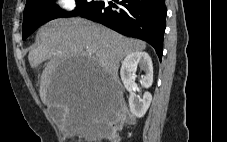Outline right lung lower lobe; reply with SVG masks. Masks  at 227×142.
<instances>
[{
	"instance_id": "1",
	"label": "right lung lower lobe",
	"mask_w": 227,
	"mask_h": 142,
	"mask_svg": "<svg viewBox=\"0 0 227 142\" xmlns=\"http://www.w3.org/2000/svg\"><path fill=\"white\" fill-rule=\"evenodd\" d=\"M114 1L117 4L100 1L79 15L150 43L161 59L167 14L165 0Z\"/></svg>"
}]
</instances>
